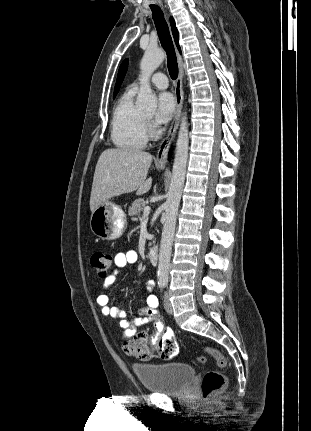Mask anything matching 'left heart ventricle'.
Returning a JSON list of instances; mask_svg holds the SVG:
<instances>
[{"label":"left heart ventricle","mask_w":311,"mask_h":431,"mask_svg":"<svg viewBox=\"0 0 311 431\" xmlns=\"http://www.w3.org/2000/svg\"><path fill=\"white\" fill-rule=\"evenodd\" d=\"M151 115H152L151 113H149V114H146V116H147V117H149V118L151 117Z\"/></svg>","instance_id":"b2bd125f"}]
</instances>
